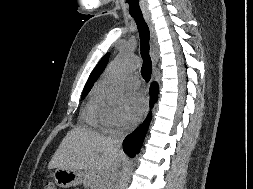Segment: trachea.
Segmentation results:
<instances>
[{"instance_id":"3493384b","label":"trachea","mask_w":253,"mask_h":189,"mask_svg":"<svg viewBox=\"0 0 253 189\" xmlns=\"http://www.w3.org/2000/svg\"><path fill=\"white\" fill-rule=\"evenodd\" d=\"M131 16L134 18L137 24L140 36L141 57L143 59L141 75L144 78V80L148 82L151 79V72H152V61L149 55L150 31L148 25L143 19L142 14H131Z\"/></svg>"}]
</instances>
